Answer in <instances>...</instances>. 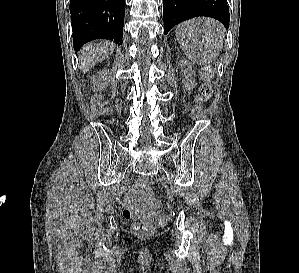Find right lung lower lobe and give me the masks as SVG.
<instances>
[{
    "mask_svg": "<svg viewBox=\"0 0 299 273\" xmlns=\"http://www.w3.org/2000/svg\"><path fill=\"white\" fill-rule=\"evenodd\" d=\"M74 50L95 39L123 40L124 0H70Z\"/></svg>",
    "mask_w": 299,
    "mask_h": 273,
    "instance_id": "obj_1",
    "label": "right lung lower lobe"
}]
</instances>
